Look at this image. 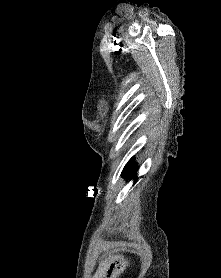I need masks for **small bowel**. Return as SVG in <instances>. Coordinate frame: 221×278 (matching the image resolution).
Masks as SVG:
<instances>
[{
    "label": "small bowel",
    "mask_w": 221,
    "mask_h": 278,
    "mask_svg": "<svg viewBox=\"0 0 221 278\" xmlns=\"http://www.w3.org/2000/svg\"><path fill=\"white\" fill-rule=\"evenodd\" d=\"M126 262L118 255H110L100 265L96 278H117Z\"/></svg>",
    "instance_id": "obj_1"
}]
</instances>
